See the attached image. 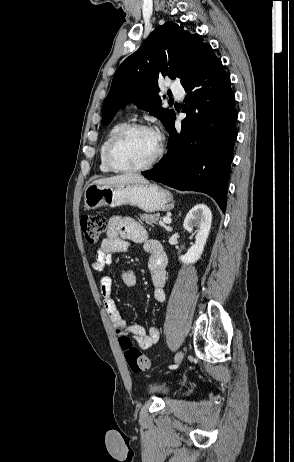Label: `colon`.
Here are the masks:
<instances>
[{
  "instance_id": "1",
  "label": "colon",
  "mask_w": 294,
  "mask_h": 462,
  "mask_svg": "<svg viewBox=\"0 0 294 462\" xmlns=\"http://www.w3.org/2000/svg\"><path fill=\"white\" fill-rule=\"evenodd\" d=\"M81 229L86 241L94 245L106 229V220L102 216H84L81 219ZM119 343L124 351L127 364L133 372L140 373L149 368L148 358L133 345L129 337L120 336Z\"/></svg>"
}]
</instances>
